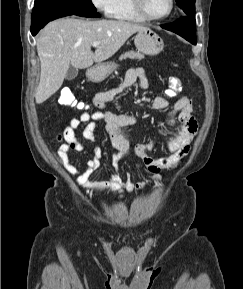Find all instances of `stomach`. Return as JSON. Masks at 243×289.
I'll return each instance as SVG.
<instances>
[{
  "mask_svg": "<svg viewBox=\"0 0 243 289\" xmlns=\"http://www.w3.org/2000/svg\"><path fill=\"white\" fill-rule=\"evenodd\" d=\"M134 43L136 48L146 55H157L164 47L163 40L149 28L138 31L134 37ZM116 67L114 62L97 64L87 70L86 75L91 81L100 82L107 78Z\"/></svg>",
  "mask_w": 243,
  "mask_h": 289,
  "instance_id": "stomach-1",
  "label": "stomach"
}]
</instances>
